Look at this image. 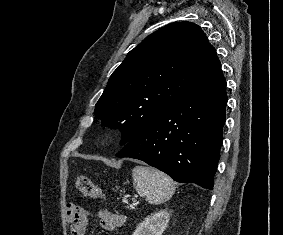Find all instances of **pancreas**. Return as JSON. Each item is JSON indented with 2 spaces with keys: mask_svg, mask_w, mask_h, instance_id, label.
<instances>
[{
  "mask_svg": "<svg viewBox=\"0 0 283 235\" xmlns=\"http://www.w3.org/2000/svg\"><path fill=\"white\" fill-rule=\"evenodd\" d=\"M124 202H125V203H128L127 200H124ZM129 207L132 209V208H133V205L128 206V208H129Z\"/></svg>",
  "mask_w": 283,
  "mask_h": 235,
  "instance_id": "1",
  "label": "pancreas"
}]
</instances>
